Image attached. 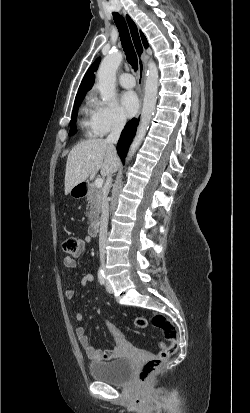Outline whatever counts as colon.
I'll return each instance as SVG.
<instances>
[{"mask_svg": "<svg viewBox=\"0 0 250 413\" xmlns=\"http://www.w3.org/2000/svg\"><path fill=\"white\" fill-rule=\"evenodd\" d=\"M63 249L68 254H74L79 249V239L75 236H69L65 239L63 243ZM151 323L153 326L159 328L164 338L169 342V345H166L164 342H160V352L150 359H148L141 367L139 371V381L146 383L150 378L161 368L165 361L176 352L178 349V330L176 326L164 315L155 314L151 318L145 316H137L134 319V325L138 329H144ZM115 322H111V319L108 317L106 319L105 328L109 330L110 334L113 335L115 339H126L124 332L116 327Z\"/></svg>", "mask_w": 250, "mask_h": 413, "instance_id": "colon-1", "label": "colon"}]
</instances>
